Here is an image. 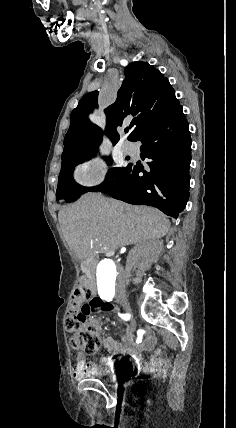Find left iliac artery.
I'll return each mask as SVG.
<instances>
[{"label": "left iliac artery", "instance_id": "obj_1", "mask_svg": "<svg viewBox=\"0 0 236 428\" xmlns=\"http://www.w3.org/2000/svg\"><path fill=\"white\" fill-rule=\"evenodd\" d=\"M98 294L100 295V298L109 302V301H112L115 295V291H100L98 292Z\"/></svg>", "mask_w": 236, "mask_h": 428}]
</instances>
